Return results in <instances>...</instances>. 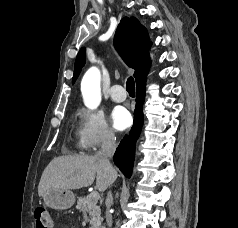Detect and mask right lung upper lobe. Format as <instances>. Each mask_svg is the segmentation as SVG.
Returning <instances> with one entry per match:
<instances>
[{
	"label": "right lung upper lobe",
	"mask_w": 238,
	"mask_h": 228,
	"mask_svg": "<svg viewBox=\"0 0 238 228\" xmlns=\"http://www.w3.org/2000/svg\"><path fill=\"white\" fill-rule=\"evenodd\" d=\"M114 45L125 63L135 69L136 84L144 79L148 71L149 47L151 43L147 30L135 17H124L117 27ZM85 63V49L82 48L75 61L72 83L77 79Z\"/></svg>",
	"instance_id": "obj_1"
}]
</instances>
